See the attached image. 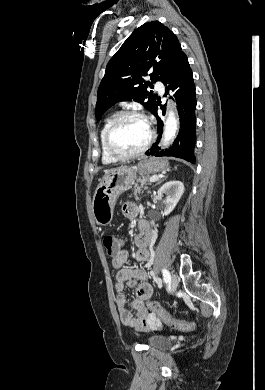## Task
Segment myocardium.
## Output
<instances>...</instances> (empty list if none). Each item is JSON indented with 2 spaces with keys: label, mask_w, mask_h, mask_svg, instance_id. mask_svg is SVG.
<instances>
[{
  "label": "myocardium",
  "mask_w": 265,
  "mask_h": 390,
  "mask_svg": "<svg viewBox=\"0 0 265 390\" xmlns=\"http://www.w3.org/2000/svg\"><path fill=\"white\" fill-rule=\"evenodd\" d=\"M126 118H138V119L144 121V123L147 125L148 132H149L148 139H147L146 143L143 145V147H141L139 150L131 152V153H122V152L118 151L113 145L114 131L117 128V126ZM154 139H155V132H154L151 124L149 123L148 119L146 118V116L137 112V111L127 110V111H122L121 113H119L114 118L112 123L110 124V126L106 132V135H105V145H106V149L109 152V154L111 156H113L115 159L127 160V159H131V158H134V157H137V156L144 154L150 148Z\"/></svg>",
  "instance_id": "myocardium-1"
}]
</instances>
